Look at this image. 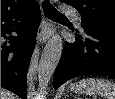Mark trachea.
<instances>
[{"instance_id": "trachea-1", "label": "trachea", "mask_w": 115, "mask_h": 99, "mask_svg": "<svg viewBox=\"0 0 115 99\" xmlns=\"http://www.w3.org/2000/svg\"><path fill=\"white\" fill-rule=\"evenodd\" d=\"M43 11L45 15L49 18L64 17L65 15L61 14L49 1H44L42 4Z\"/></svg>"}]
</instances>
